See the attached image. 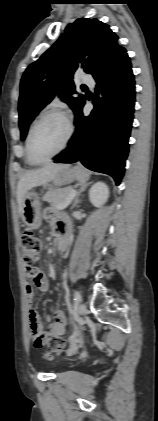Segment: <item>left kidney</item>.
Masks as SVG:
<instances>
[{
    "mask_svg": "<svg viewBox=\"0 0 158 421\" xmlns=\"http://www.w3.org/2000/svg\"><path fill=\"white\" fill-rule=\"evenodd\" d=\"M109 197V188L103 182L95 183L89 190V200L95 207H101Z\"/></svg>",
    "mask_w": 158,
    "mask_h": 421,
    "instance_id": "1",
    "label": "left kidney"
}]
</instances>
